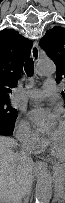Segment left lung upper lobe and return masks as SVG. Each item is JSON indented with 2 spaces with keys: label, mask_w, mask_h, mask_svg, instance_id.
<instances>
[{
  "label": "left lung upper lobe",
  "mask_w": 65,
  "mask_h": 203,
  "mask_svg": "<svg viewBox=\"0 0 65 203\" xmlns=\"http://www.w3.org/2000/svg\"><path fill=\"white\" fill-rule=\"evenodd\" d=\"M46 54L56 64V82H65V28L53 27L39 42ZM65 99V93L62 92Z\"/></svg>",
  "instance_id": "left-lung-upper-lobe-1"
}]
</instances>
